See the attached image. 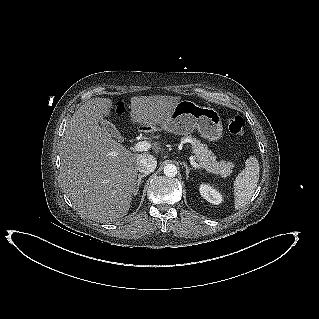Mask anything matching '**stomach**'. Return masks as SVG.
<instances>
[{
	"mask_svg": "<svg viewBox=\"0 0 319 319\" xmlns=\"http://www.w3.org/2000/svg\"><path fill=\"white\" fill-rule=\"evenodd\" d=\"M161 128L176 135H188L197 129L209 141L219 140L223 126L219 113L210 107H202L189 100L179 101Z\"/></svg>",
	"mask_w": 319,
	"mask_h": 319,
	"instance_id": "1",
	"label": "stomach"
}]
</instances>
